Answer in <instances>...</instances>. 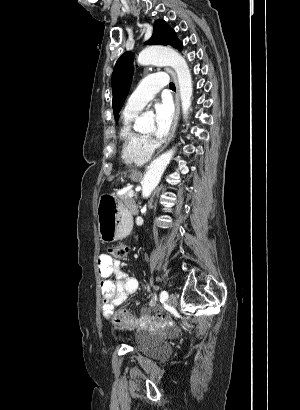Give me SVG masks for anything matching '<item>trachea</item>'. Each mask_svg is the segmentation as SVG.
<instances>
[{"instance_id":"trachea-1","label":"trachea","mask_w":300,"mask_h":410,"mask_svg":"<svg viewBox=\"0 0 300 410\" xmlns=\"http://www.w3.org/2000/svg\"><path fill=\"white\" fill-rule=\"evenodd\" d=\"M169 87L171 90H175V84L173 82H170Z\"/></svg>"}]
</instances>
